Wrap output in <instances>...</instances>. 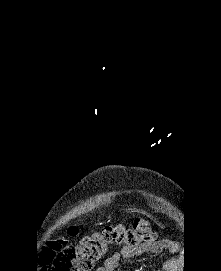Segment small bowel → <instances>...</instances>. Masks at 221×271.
Instances as JSON below:
<instances>
[{"mask_svg": "<svg viewBox=\"0 0 221 271\" xmlns=\"http://www.w3.org/2000/svg\"><path fill=\"white\" fill-rule=\"evenodd\" d=\"M172 247V242L167 239H155L152 242L144 244L136 248L123 247L120 251H116L111 256H109L104 264L97 268V271H115L118 267L119 261L122 258L130 259L144 253H161L165 250H170ZM173 261H168L165 266L166 268H171Z\"/></svg>", "mask_w": 221, "mask_h": 271, "instance_id": "small-bowel-1", "label": "small bowel"}]
</instances>
